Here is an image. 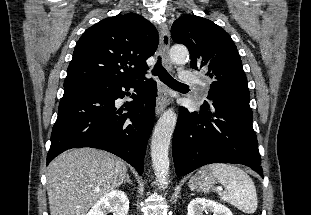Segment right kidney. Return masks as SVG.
Wrapping results in <instances>:
<instances>
[{"mask_svg": "<svg viewBox=\"0 0 311 215\" xmlns=\"http://www.w3.org/2000/svg\"><path fill=\"white\" fill-rule=\"evenodd\" d=\"M129 200L121 190H112L105 194L91 208L87 215H104L106 211L113 212V215H127Z\"/></svg>", "mask_w": 311, "mask_h": 215, "instance_id": "ca27d5eb", "label": "right kidney"}]
</instances>
